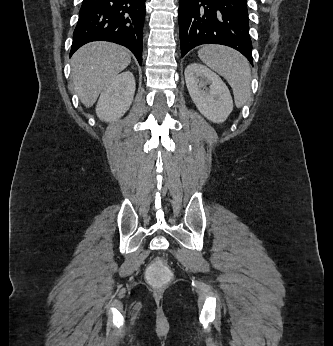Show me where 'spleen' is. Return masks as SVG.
Listing matches in <instances>:
<instances>
[{"mask_svg":"<svg viewBox=\"0 0 333 346\" xmlns=\"http://www.w3.org/2000/svg\"><path fill=\"white\" fill-rule=\"evenodd\" d=\"M199 58L230 84L237 107L250 97L251 71L245 57L229 47L207 45L198 51Z\"/></svg>","mask_w":333,"mask_h":346,"instance_id":"1","label":"spleen"}]
</instances>
